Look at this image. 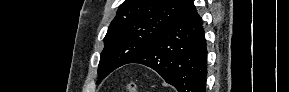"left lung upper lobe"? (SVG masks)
Segmentation results:
<instances>
[{"mask_svg": "<svg viewBox=\"0 0 289 92\" xmlns=\"http://www.w3.org/2000/svg\"><path fill=\"white\" fill-rule=\"evenodd\" d=\"M192 0H126L104 38L98 82L145 51Z\"/></svg>", "mask_w": 289, "mask_h": 92, "instance_id": "5c2ea615", "label": "left lung upper lobe"}]
</instances>
